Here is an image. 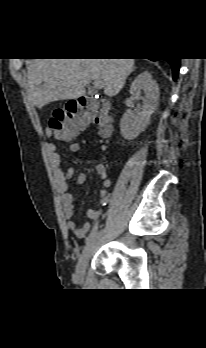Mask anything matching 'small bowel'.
I'll return each mask as SVG.
<instances>
[{
	"label": "small bowel",
	"instance_id": "obj_1",
	"mask_svg": "<svg viewBox=\"0 0 206 348\" xmlns=\"http://www.w3.org/2000/svg\"><path fill=\"white\" fill-rule=\"evenodd\" d=\"M82 149L83 145L79 142H73L69 145V150L71 152H79ZM47 154L52 167L54 181L61 196L63 214L66 220L67 229L71 231L74 236L82 237L90 229L91 224L84 223L81 227H78L73 220L75 213V197L68 191L67 180L75 175V170L73 168L68 170L63 169L61 156L58 153L55 145L50 144L47 146ZM95 170L100 176L103 189L100 191L99 207L88 209L87 217L92 220L93 224L96 225L101 220L103 208L108 205L110 201L107 189L111 186V181L103 165H96ZM86 180L87 177L84 173H78L76 175V181L78 184H84Z\"/></svg>",
	"mask_w": 206,
	"mask_h": 348
}]
</instances>
